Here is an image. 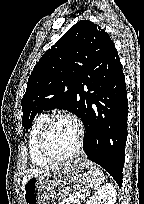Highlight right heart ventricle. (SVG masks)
<instances>
[{
	"mask_svg": "<svg viewBox=\"0 0 144 204\" xmlns=\"http://www.w3.org/2000/svg\"><path fill=\"white\" fill-rule=\"evenodd\" d=\"M47 118H48L47 114L38 115L33 121L31 128L29 130L27 141L28 153L32 164L35 166H46L50 163V161L42 157L38 150L37 145L39 133Z\"/></svg>",
	"mask_w": 144,
	"mask_h": 204,
	"instance_id": "1",
	"label": "right heart ventricle"
}]
</instances>
